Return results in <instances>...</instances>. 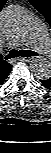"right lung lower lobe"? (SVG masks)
Returning a JSON list of instances; mask_svg holds the SVG:
<instances>
[{
    "mask_svg": "<svg viewBox=\"0 0 51 153\" xmlns=\"http://www.w3.org/2000/svg\"><path fill=\"white\" fill-rule=\"evenodd\" d=\"M11 69H12V65H11V68H10V70H9V72H8V75H9ZM8 75H7V76H8ZM7 76L5 77V79L7 78ZM5 79L3 80V82L5 81ZM3 82H2V84H3Z\"/></svg>",
    "mask_w": 51,
    "mask_h": 153,
    "instance_id": "98d812e1",
    "label": "right lung lower lobe"
}]
</instances>
